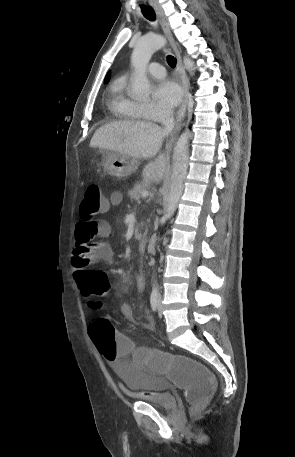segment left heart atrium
Instances as JSON below:
<instances>
[{
	"instance_id": "obj_1",
	"label": "left heart atrium",
	"mask_w": 295,
	"mask_h": 457,
	"mask_svg": "<svg viewBox=\"0 0 295 457\" xmlns=\"http://www.w3.org/2000/svg\"><path fill=\"white\" fill-rule=\"evenodd\" d=\"M181 95L179 85L170 79L160 81L154 89L156 101L166 108L176 106L180 102Z\"/></svg>"
}]
</instances>
